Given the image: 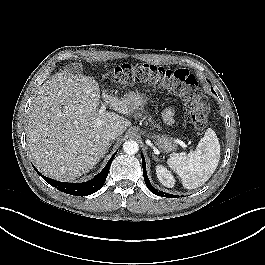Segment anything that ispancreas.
<instances>
[{"label":"pancreas","instance_id":"1","mask_svg":"<svg viewBox=\"0 0 265 265\" xmlns=\"http://www.w3.org/2000/svg\"><path fill=\"white\" fill-rule=\"evenodd\" d=\"M137 116H141V113H138Z\"/></svg>","mask_w":265,"mask_h":265}]
</instances>
